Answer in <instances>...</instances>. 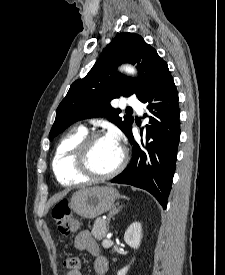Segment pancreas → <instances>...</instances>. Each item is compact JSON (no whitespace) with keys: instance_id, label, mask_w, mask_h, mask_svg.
<instances>
[{"instance_id":"cf45deb5","label":"pancreas","mask_w":225,"mask_h":275,"mask_svg":"<svg viewBox=\"0 0 225 275\" xmlns=\"http://www.w3.org/2000/svg\"><path fill=\"white\" fill-rule=\"evenodd\" d=\"M107 231L106 220L98 218L94 223L91 233L97 240H102L105 238Z\"/></svg>"}]
</instances>
